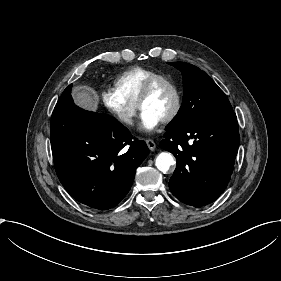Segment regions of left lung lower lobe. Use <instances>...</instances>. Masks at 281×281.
Masks as SVG:
<instances>
[{
    "mask_svg": "<svg viewBox=\"0 0 281 281\" xmlns=\"http://www.w3.org/2000/svg\"><path fill=\"white\" fill-rule=\"evenodd\" d=\"M164 138L161 148L173 153L177 161L169 181L173 195L194 207L215 201L233 172L240 141L236 114L171 128Z\"/></svg>",
    "mask_w": 281,
    "mask_h": 281,
    "instance_id": "left-lung-lower-lobe-1",
    "label": "left lung lower lobe"
}]
</instances>
